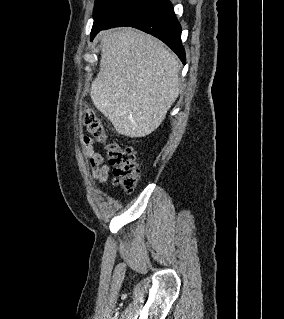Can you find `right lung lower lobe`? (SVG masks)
<instances>
[{"instance_id": "1", "label": "right lung lower lobe", "mask_w": 284, "mask_h": 319, "mask_svg": "<svg viewBox=\"0 0 284 319\" xmlns=\"http://www.w3.org/2000/svg\"><path fill=\"white\" fill-rule=\"evenodd\" d=\"M131 26L162 40L185 64V50L181 43V26L170 0H136L116 15L108 24L91 34V40L104 29Z\"/></svg>"}]
</instances>
